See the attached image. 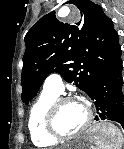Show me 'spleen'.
<instances>
[{"mask_svg":"<svg viewBox=\"0 0 124 149\" xmlns=\"http://www.w3.org/2000/svg\"><path fill=\"white\" fill-rule=\"evenodd\" d=\"M107 124V125H105ZM94 136L99 149H121L123 138L121 132L114 125L105 123Z\"/></svg>","mask_w":124,"mask_h":149,"instance_id":"obj_1","label":"spleen"}]
</instances>
